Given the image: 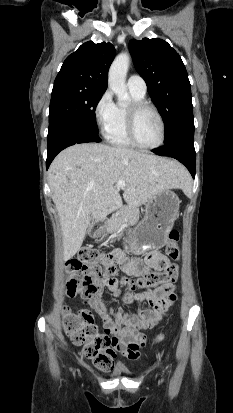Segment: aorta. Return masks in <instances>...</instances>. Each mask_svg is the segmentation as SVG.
<instances>
[{
    "instance_id": "aorta-1",
    "label": "aorta",
    "mask_w": 233,
    "mask_h": 413,
    "mask_svg": "<svg viewBox=\"0 0 233 413\" xmlns=\"http://www.w3.org/2000/svg\"><path fill=\"white\" fill-rule=\"evenodd\" d=\"M129 61V55L121 53L114 59L109 69L108 86L117 95L119 101L129 98L126 86Z\"/></svg>"
}]
</instances>
